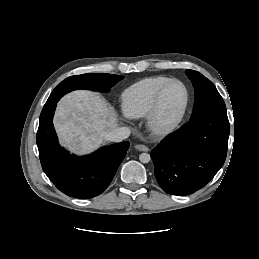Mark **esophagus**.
<instances>
[{
	"label": "esophagus",
	"mask_w": 259,
	"mask_h": 259,
	"mask_svg": "<svg viewBox=\"0 0 259 259\" xmlns=\"http://www.w3.org/2000/svg\"><path fill=\"white\" fill-rule=\"evenodd\" d=\"M135 148L139 151H143V152H147L149 151V148L145 145H142V144H137L135 145Z\"/></svg>",
	"instance_id": "esophagus-1"
}]
</instances>
